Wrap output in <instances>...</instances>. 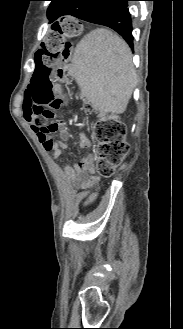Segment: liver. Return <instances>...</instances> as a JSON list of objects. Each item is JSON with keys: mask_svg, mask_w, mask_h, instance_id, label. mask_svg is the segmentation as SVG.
I'll return each instance as SVG.
<instances>
[{"mask_svg": "<svg viewBox=\"0 0 183 329\" xmlns=\"http://www.w3.org/2000/svg\"><path fill=\"white\" fill-rule=\"evenodd\" d=\"M70 72L100 114L126 110L137 77L132 52L117 34L98 28L84 36L74 50Z\"/></svg>", "mask_w": 183, "mask_h": 329, "instance_id": "6515ba94", "label": "liver"}]
</instances>
